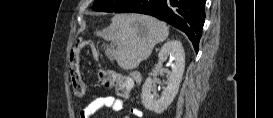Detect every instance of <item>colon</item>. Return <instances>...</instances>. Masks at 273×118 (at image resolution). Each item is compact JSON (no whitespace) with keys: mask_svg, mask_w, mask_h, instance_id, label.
<instances>
[{"mask_svg":"<svg viewBox=\"0 0 273 118\" xmlns=\"http://www.w3.org/2000/svg\"><path fill=\"white\" fill-rule=\"evenodd\" d=\"M80 49V44L73 48L68 64L70 85L77 96H82L85 91L84 82L79 69ZM96 78L102 85L115 88L122 96H127L131 88V81L127 77L114 72H98Z\"/></svg>","mask_w":273,"mask_h":118,"instance_id":"1","label":"colon"}]
</instances>
